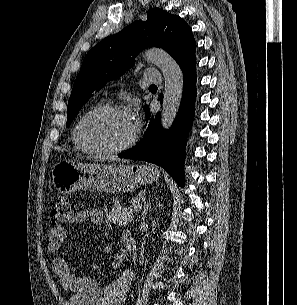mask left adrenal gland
<instances>
[{
    "label": "left adrenal gland",
    "instance_id": "1",
    "mask_svg": "<svg viewBox=\"0 0 297 305\" xmlns=\"http://www.w3.org/2000/svg\"><path fill=\"white\" fill-rule=\"evenodd\" d=\"M150 208H151V204L146 202V199L144 198L143 199V212L141 214L142 219H144L146 217Z\"/></svg>",
    "mask_w": 297,
    "mask_h": 305
}]
</instances>
